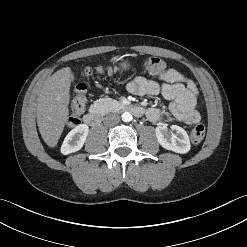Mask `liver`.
I'll return each instance as SVG.
<instances>
[{
    "instance_id": "obj_1",
    "label": "liver",
    "mask_w": 247,
    "mask_h": 247,
    "mask_svg": "<svg viewBox=\"0 0 247 247\" xmlns=\"http://www.w3.org/2000/svg\"><path fill=\"white\" fill-rule=\"evenodd\" d=\"M70 76L69 67L58 70L44 82L38 95L37 125L49 147L57 145L68 119Z\"/></svg>"
}]
</instances>
